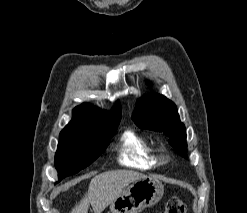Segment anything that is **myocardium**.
I'll use <instances>...</instances> for the list:
<instances>
[{
	"label": "myocardium",
	"instance_id": "obj_1",
	"mask_svg": "<svg viewBox=\"0 0 247 213\" xmlns=\"http://www.w3.org/2000/svg\"><path fill=\"white\" fill-rule=\"evenodd\" d=\"M157 159L161 164H165L169 161V155L165 147L161 146L156 149Z\"/></svg>",
	"mask_w": 247,
	"mask_h": 213
}]
</instances>
